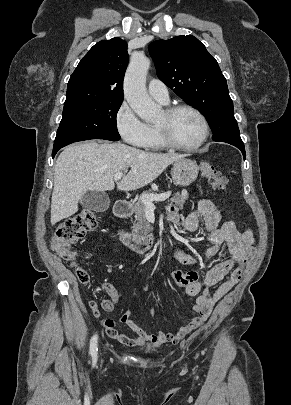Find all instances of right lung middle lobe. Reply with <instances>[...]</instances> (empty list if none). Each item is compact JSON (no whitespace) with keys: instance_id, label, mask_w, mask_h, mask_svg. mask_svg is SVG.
I'll list each match as a JSON object with an SVG mask.
<instances>
[{"instance_id":"dd1d6c3e","label":"right lung middle lobe","mask_w":291,"mask_h":405,"mask_svg":"<svg viewBox=\"0 0 291 405\" xmlns=\"http://www.w3.org/2000/svg\"><path fill=\"white\" fill-rule=\"evenodd\" d=\"M123 100H83L64 103L63 118L54 141L52 155L73 142L119 140L116 115Z\"/></svg>"}]
</instances>
